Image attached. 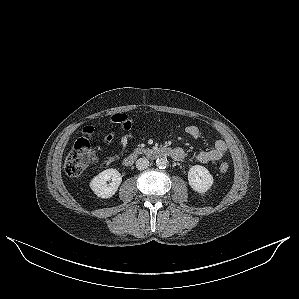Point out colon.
Wrapping results in <instances>:
<instances>
[{
  "label": "colon",
  "instance_id": "obj_1",
  "mask_svg": "<svg viewBox=\"0 0 299 299\" xmlns=\"http://www.w3.org/2000/svg\"><path fill=\"white\" fill-rule=\"evenodd\" d=\"M93 160L94 152L90 142L85 138H80L65 158V172L71 177H78L83 174ZM228 169L229 165L226 162L219 166L222 173H226Z\"/></svg>",
  "mask_w": 299,
  "mask_h": 299
}]
</instances>
